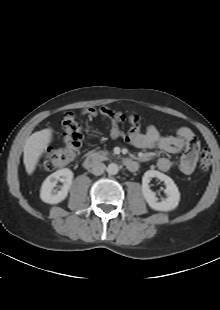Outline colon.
Wrapping results in <instances>:
<instances>
[{
  "mask_svg": "<svg viewBox=\"0 0 220 310\" xmlns=\"http://www.w3.org/2000/svg\"><path fill=\"white\" fill-rule=\"evenodd\" d=\"M114 114L117 121H123L125 119V115L122 113ZM129 121L135 126H139L143 123V120L137 115L130 116ZM62 128L64 131L63 146L59 148H49L46 151L41 161V167L45 170L51 171L66 166L72 163L79 154L83 143L81 124L72 113H68L62 121ZM212 160V154L208 150H201L199 155V165L201 169H209Z\"/></svg>",
  "mask_w": 220,
  "mask_h": 310,
  "instance_id": "colon-1",
  "label": "colon"
}]
</instances>
